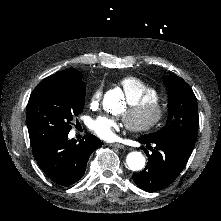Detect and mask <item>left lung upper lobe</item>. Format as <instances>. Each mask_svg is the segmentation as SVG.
Listing matches in <instances>:
<instances>
[{
    "mask_svg": "<svg viewBox=\"0 0 221 221\" xmlns=\"http://www.w3.org/2000/svg\"><path fill=\"white\" fill-rule=\"evenodd\" d=\"M168 88V122L156 133L144 136H171L194 147L199 126L197 99L192 88L179 76L164 78Z\"/></svg>",
    "mask_w": 221,
    "mask_h": 221,
    "instance_id": "obj_1",
    "label": "left lung upper lobe"
}]
</instances>
